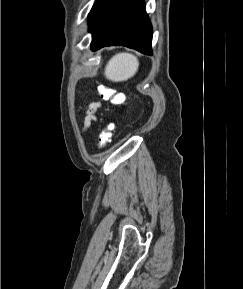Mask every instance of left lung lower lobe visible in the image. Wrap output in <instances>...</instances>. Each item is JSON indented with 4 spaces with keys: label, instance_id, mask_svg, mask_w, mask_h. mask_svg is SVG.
<instances>
[{
    "label": "left lung lower lobe",
    "instance_id": "1",
    "mask_svg": "<svg viewBox=\"0 0 243 289\" xmlns=\"http://www.w3.org/2000/svg\"><path fill=\"white\" fill-rule=\"evenodd\" d=\"M88 23L93 51L124 45L152 55V26L143 0H96Z\"/></svg>",
    "mask_w": 243,
    "mask_h": 289
}]
</instances>
